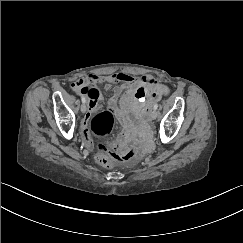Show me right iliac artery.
<instances>
[{
	"mask_svg": "<svg viewBox=\"0 0 243 243\" xmlns=\"http://www.w3.org/2000/svg\"><path fill=\"white\" fill-rule=\"evenodd\" d=\"M82 103H85V98L82 96L81 97Z\"/></svg>",
	"mask_w": 243,
	"mask_h": 243,
	"instance_id": "82829eb1",
	"label": "right iliac artery"
}]
</instances>
